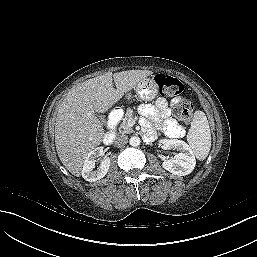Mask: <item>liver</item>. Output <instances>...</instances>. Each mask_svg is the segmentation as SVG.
Listing matches in <instances>:
<instances>
[{
  "label": "liver",
  "mask_w": 257,
  "mask_h": 257,
  "mask_svg": "<svg viewBox=\"0 0 257 257\" xmlns=\"http://www.w3.org/2000/svg\"><path fill=\"white\" fill-rule=\"evenodd\" d=\"M152 73L149 70L108 72L68 92L58 109L55 145L60 161L74 176H80L88 153L104 138V129L96 113H105Z\"/></svg>",
  "instance_id": "1"
}]
</instances>
